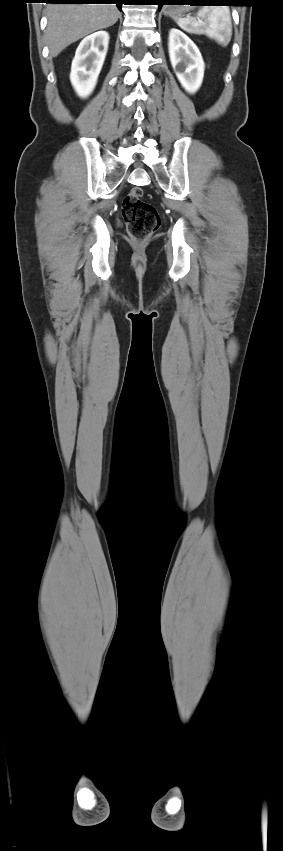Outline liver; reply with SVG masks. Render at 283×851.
I'll return each mask as SVG.
<instances>
[{
    "instance_id": "liver-1",
    "label": "liver",
    "mask_w": 283,
    "mask_h": 851,
    "mask_svg": "<svg viewBox=\"0 0 283 851\" xmlns=\"http://www.w3.org/2000/svg\"><path fill=\"white\" fill-rule=\"evenodd\" d=\"M115 4H51L47 7L46 41L50 57L70 44L114 25L119 17Z\"/></svg>"
}]
</instances>
